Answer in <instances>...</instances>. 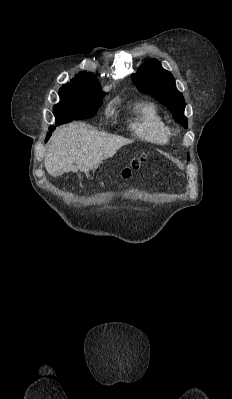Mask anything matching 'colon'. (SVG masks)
Here are the masks:
<instances>
[{"label":"colon","instance_id":"1","mask_svg":"<svg viewBox=\"0 0 232 399\" xmlns=\"http://www.w3.org/2000/svg\"><path fill=\"white\" fill-rule=\"evenodd\" d=\"M127 165H131V168H136V165H139V160H127ZM123 179H128V174H123Z\"/></svg>","mask_w":232,"mask_h":399}]
</instances>
